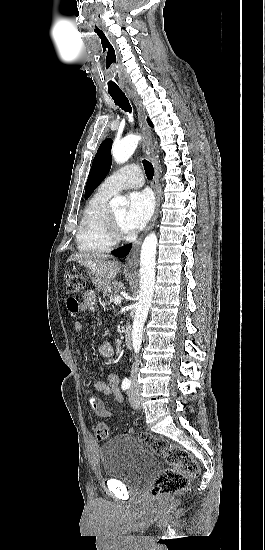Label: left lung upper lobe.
Instances as JSON below:
<instances>
[{
	"instance_id": "1",
	"label": "left lung upper lobe",
	"mask_w": 265,
	"mask_h": 550,
	"mask_svg": "<svg viewBox=\"0 0 265 550\" xmlns=\"http://www.w3.org/2000/svg\"><path fill=\"white\" fill-rule=\"evenodd\" d=\"M148 124L153 126L148 118ZM112 141L110 139L104 140L99 146L97 153L94 157L92 167L87 179L85 189V199H87L94 189L101 183L106 177L111 166V149Z\"/></svg>"
}]
</instances>
